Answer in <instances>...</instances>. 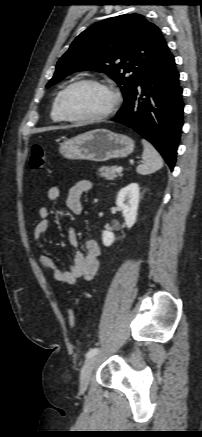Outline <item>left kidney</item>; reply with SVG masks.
<instances>
[{
	"mask_svg": "<svg viewBox=\"0 0 202 437\" xmlns=\"http://www.w3.org/2000/svg\"><path fill=\"white\" fill-rule=\"evenodd\" d=\"M139 193L140 188L137 183H130L118 192L116 205L122 210L127 228H131L136 222ZM102 241L105 246H110L115 241V235L109 230H104Z\"/></svg>",
	"mask_w": 202,
	"mask_h": 437,
	"instance_id": "1",
	"label": "left kidney"
}]
</instances>
